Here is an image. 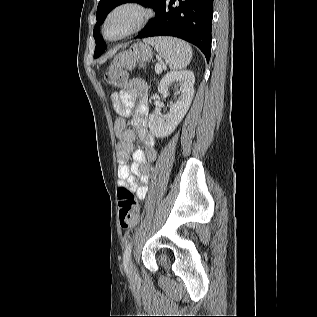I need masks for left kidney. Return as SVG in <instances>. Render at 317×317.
Masks as SVG:
<instances>
[{
  "instance_id": "left-kidney-1",
  "label": "left kidney",
  "mask_w": 317,
  "mask_h": 317,
  "mask_svg": "<svg viewBox=\"0 0 317 317\" xmlns=\"http://www.w3.org/2000/svg\"><path fill=\"white\" fill-rule=\"evenodd\" d=\"M194 73L189 70L172 71L167 73L158 86V92L165 98L169 95V88L172 85L180 87L176 102H171L170 110L166 115L152 113L149 116V129L156 137L170 135L182 121L187 113L194 95Z\"/></svg>"
}]
</instances>
